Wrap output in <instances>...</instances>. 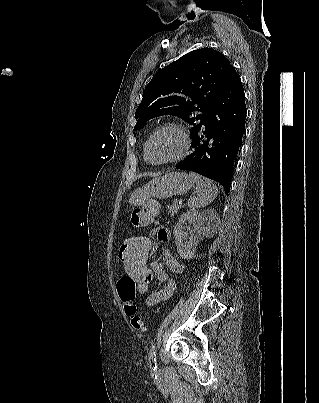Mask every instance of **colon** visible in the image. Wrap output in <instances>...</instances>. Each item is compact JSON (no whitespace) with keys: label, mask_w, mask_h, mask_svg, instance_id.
Wrapping results in <instances>:
<instances>
[{"label":"colon","mask_w":319,"mask_h":403,"mask_svg":"<svg viewBox=\"0 0 319 403\" xmlns=\"http://www.w3.org/2000/svg\"><path fill=\"white\" fill-rule=\"evenodd\" d=\"M158 211L155 202H148L142 209L133 212L131 222L135 226L145 225L158 214ZM119 256L120 267L124 272V276L116 277L120 307L124 316L130 321L131 331L142 333L144 331L143 314L138 308L136 296H149L150 293V285L145 283L144 277L151 266L148 238H127V242H123V245L119 247ZM134 282L135 287H133Z\"/></svg>","instance_id":"obj_1"}]
</instances>
